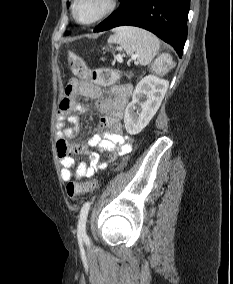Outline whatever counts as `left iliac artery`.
Returning <instances> with one entry per match:
<instances>
[{"label": "left iliac artery", "mask_w": 233, "mask_h": 284, "mask_svg": "<svg viewBox=\"0 0 233 284\" xmlns=\"http://www.w3.org/2000/svg\"><path fill=\"white\" fill-rule=\"evenodd\" d=\"M91 202L87 201L83 204L78 221L77 234L79 238H82L86 243H89V238L86 234V220L90 210Z\"/></svg>", "instance_id": "obj_1"}]
</instances>
